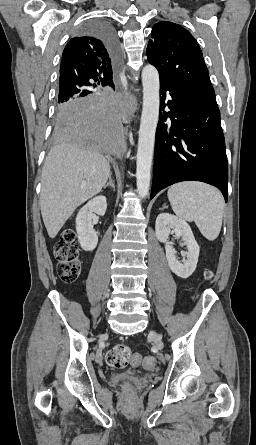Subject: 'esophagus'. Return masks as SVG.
I'll return each mask as SVG.
<instances>
[{"label": "esophagus", "mask_w": 256, "mask_h": 445, "mask_svg": "<svg viewBox=\"0 0 256 445\" xmlns=\"http://www.w3.org/2000/svg\"><path fill=\"white\" fill-rule=\"evenodd\" d=\"M128 102H129L130 115L133 116L134 112L136 111V107H137V102H136L135 96L132 94L129 95Z\"/></svg>", "instance_id": "34e87169"}]
</instances>
